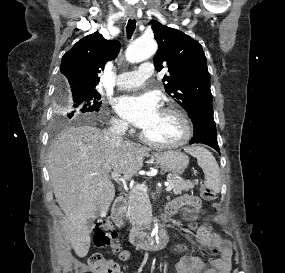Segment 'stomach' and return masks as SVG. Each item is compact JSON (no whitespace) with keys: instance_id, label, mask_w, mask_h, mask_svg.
I'll list each match as a JSON object with an SVG mask.
<instances>
[{"instance_id":"stomach-1","label":"stomach","mask_w":285,"mask_h":273,"mask_svg":"<svg viewBox=\"0 0 285 273\" xmlns=\"http://www.w3.org/2000/svg\"><path fill=\"white\" fill-rule=\"evenodd\" d=\"M153 158L163 169L170 171L173 176L182 174L189 164L188 156L179 151L156 153Z\"/></svg>"}]
</instances>
